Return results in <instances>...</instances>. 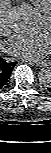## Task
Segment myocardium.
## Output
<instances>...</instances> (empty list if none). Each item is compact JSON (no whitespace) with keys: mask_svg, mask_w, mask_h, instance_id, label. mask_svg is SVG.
<instances>
[{"mask_svg":"<svg viewBox=\"0 0 51 153\" xmlns=\"http://www.w3.org/2000/svg\"><path fill=\"white\" fill-rule=\"evenodd\" d=\"M43 18L51 25V9L43 14Z\"/></svg>","mask_w":51,"mask_h":153,"instance_id":"1","label":"myocardium"}]
</instances>
